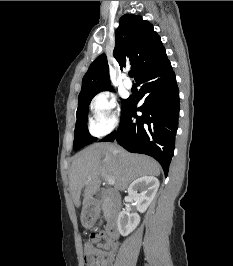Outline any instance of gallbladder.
<instances>
[{
	"label": "gallbladder",
	"instance_id": "bac80fb5",
	"mask_svg": "<svg viewBox=\"0 0 233 266\" xmlns=\"http://www.w3.org/2000/svg\"><path fill=\"white\" fill-rule=\"evenodd\" d=\"M101 223H102V219H100V221H99L98 225H100Z\"/></svg>",
	"mask_w": 233,
	"mask_h": 266
}]
</instances>
